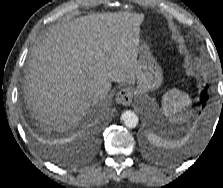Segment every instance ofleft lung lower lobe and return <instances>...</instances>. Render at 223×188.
Masks as SVG:
<instances>
[{"label":"left lung lower lobe","instance_id":"1","mask_svg":"<svg viewBox=\"0 0 223 188\" xmlns=\"http://www.w3.org/2000/svg\"><path fill=\"white\" fill-rule=\"evenodd\" d=\"M208 100V96H207V88L205 87L204 90L201 93V103H204Z\"/></svg>","mask_w":223,"mask_h":188}]
</instances>
